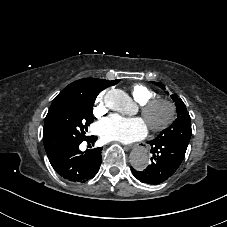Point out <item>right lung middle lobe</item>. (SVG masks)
Listing matches in <instances>:
<instances>
[{
	"label": "right lung middle lobe",
	"mask_w": 227,
	"mask_h": 227,
	"mask_svg": "<svg viewBox=\"0 0 227 227\" xmlns=\"http://www.w3.org/2000/svg\"><path fill=\"white\" fill-rule=\"evenodd\" d=\"M100 91L98 85L92 83L82 91L58 94L44 122L43 143L46 152L85 139L87 127L93 122L94 101Z\"/></svg>",
	"instance_id": "dd1d6c3e"
}]
</instances>
